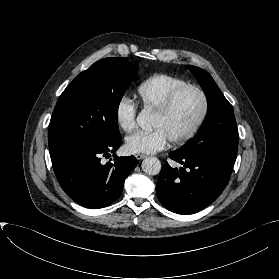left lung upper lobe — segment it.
Listing matches in <instances>:
<instances>
[{
	"mask_svg": "<svg viewBox=\"0 0 279 279\" xmlns=\"http://www.w3.org/2000/svg\"><path fill=\"white\" fill-rule=\"evenodd\" d=\"M189 69L206 95L208 112L194 138L175 152L193 159L214 158L232 167L237 156L238 141L232 105L208 72L192 65Z\"/></svg>",
	"mask_w": 279,
	"mask_h": 279,
	"instance_id": "1",
	"label": "left lung upper lobe"
}]
</instances>
